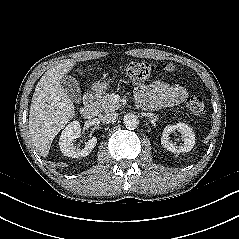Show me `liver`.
Wrapping results in <instances>:
<instances>
[{"instance_id":"obj_1","label":"liver","mask_w":239,"mask_h":239,"mask_svg":"<svg viewBox=\"0 0 239 239\" xmlns=\"http://www.w3.org/2000/svg\"><path fill=\"white\" fill-rule=\"evenodd\" d=\"M75 61H65L48 69L35 87L29 112V134L42 157L49 153L55 136L74 117L72 100L61 87L62 78Z\"/></svg>"}]
</instances>
